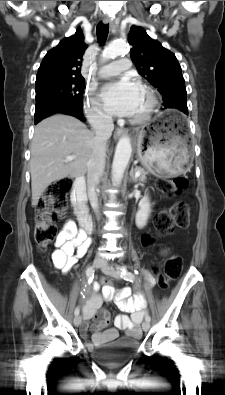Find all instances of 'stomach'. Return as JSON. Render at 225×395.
Segmentation results:
<instances>
[{
  "label": "stomach",
  "instance_id": "0dacf381",
  "mask_svg": "<svg viewBox=\"0 0 225 395\" xmlns=\"http://www.w3.org/2000/svg\"><path fill=\"white\" fill-rule=\"evenodd\" d=\"M137 153L142 165L155 175L173 177L185 172L192 150L183 134L180 116L166 110L142 126L137 137Z\"/></svg>",
  "mask_w": 225,
  "mask_h": 395
}]
</instances>
